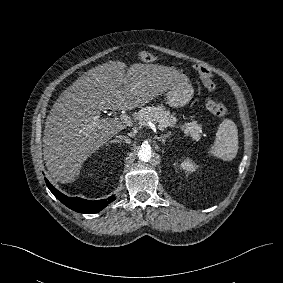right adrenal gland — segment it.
Returning <instances> with one entry per match:
<instances>
[{
  "instance_id": "2a0ac1e0",
  "label": "right adrenal gland",
  "mask_w": 283,
  "mask_h": 283,
  "mask_svg": "<svg viewBox=\"0 0 283 283\" xmlns=\"http://www.w3.org/2000/svg\"><path fill=\"white\" fill-rule=\"evenodd\" d=\"M112 143H121V141H120V140H117V139H114V140L109 141V144H112Z\"/></svg>"
}]
</instances>
